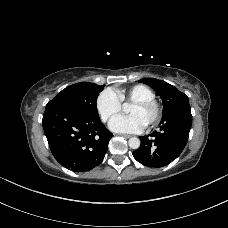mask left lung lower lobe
<instances>
[{"label":"left lung lower lobe","mask_w":228,"mask_h":228,"mask_svg":"<svg viewBox=\"0 0 228 228\" xmlns=\"http://www.w3.org/2000/svg\"><path fill=\"white\" fill-rule=\"evenodd\" d=\"M181 120L175 122L173 115L162 118L159 130L140 137L141 145L133 152L134 158L144 166L159 168L168 165L183 151L191 129V109L181 107Z\"/></svg>","instance_id":"0a47b994"}]
</instances>
